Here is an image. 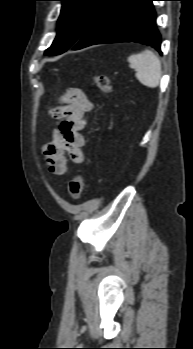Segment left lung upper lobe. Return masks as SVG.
<instances>
[{"label":"left lung upper lobe","mask_w":193,"mask_h":349,"mask_svg":"<svg viewBox=\"0 0 193 349\" xmlns=\"http://www.w3.org/2000/svg\"><path fill=\"white\" fill-rule=\"evenodd\" d=\"M62 9L58 19V33L45 55L65 52L75 45L86 28L110 0H58Z\"/></svg>","instance_id":"left-lung-upper-lobe-1"}]
</instances>
